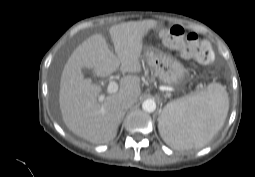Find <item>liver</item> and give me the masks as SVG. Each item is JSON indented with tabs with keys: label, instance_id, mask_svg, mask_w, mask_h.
<instances>
[{
	"label": "liver",
	"instance_id": "1",
	"mask_svg": "<svg viewBox=\"0 0 255 177\" xmlns=\"http://www.w3.org/2000/svg\"><path fill=\"white\" fill-rule=\"evenodd\" d=\"M156 25L154 20H145L112 26L109 33L116 55L100 34L89 37L73 51L64 66L59 90L62 118L70 131L94 144L108 143L116 137L124 114L122 100L127 96L139 98L140 78L124 76L119 91L100 101L101 87L85 79L82 69H93L98 77H107L118 69L123 73L140 72L144 37Z\"/></svg>",
	"mask_w": 255,
	"mask_h": 177
}]
</instances>
